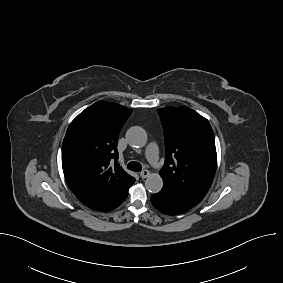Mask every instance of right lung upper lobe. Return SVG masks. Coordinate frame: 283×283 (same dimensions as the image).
Masks as SVG:
<instances>
[{
    "label": "right lung upper lobe",
    "instance_id": "obj_1",
    "mask_svg": "<svg viewBox=\"0 0 283 283\" xmlns=\"http://www.w3.org/2000/svg\"><path fill=\"white\" fill-rule=\"evenodd\" d=\"M131 112L119 104L98 101L82 111L66 132L64 176L76 197L92 210L109 209L135 182L117 163L118 135Z\"/></svg>",
    "mask_w": 283,
    "mask_h": 283
}]
</instances>
